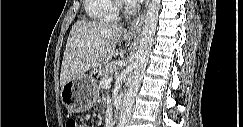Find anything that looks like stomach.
I'll return each mask as SVG.
<instances>
[{
    "label": "stomach",
    "mask_w": 243,
    "mask_h": 127,
    "mask_svg": "<svg viewBox=\"0 0 243 127\" xmlns=\"http://www.w3.org/2000/svg\"><path fill=\"white\" fill-rule=\"evenodd\" d=\"M126 39H131L127 37ZM99 86L91 75L83 74L61 87V100L69 112H85L97 100Z\"/></svg>",
    "instance_id": "1"
}]
</instances>
